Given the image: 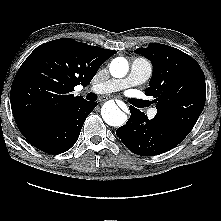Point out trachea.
Returning <instances> with one entry per match:
<instances>
[{
  "mask_svg": "<svg viewBox=\"0 0 221 221\" xmlns=\"http://www.w3.org/2000/svg\"><path fill=\"white\" fill-rule=\"evenodd\" d=\"M87 100L94 101L97 99V96L94 93H89L86 97ZM131 103L136 107H145L148 106L147 102L142 101L140 99H131Z\"/></svg>",
  "mask_w": 221,
  "mask_h": 221,
  "instance_id": "3493384b",
  "label": "trachea"
}]
</instances>
